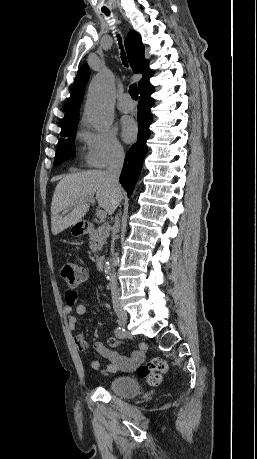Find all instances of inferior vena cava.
<instances>
[{
  "label": "inferior vena cava",
  "mask_w": 257,
  "mask_h": 459,
  "mask_svg": "<svg viewBox=\"0 0 257 459\" xmlns=\"http://www.w3.org/2000/svg\"><path fill=\"white\" fill-rule=\"evenodd\" d=\"M123 162H124V152L122 148H115L109 158L108 161V166L105 170V173L109 179L110 185L112 187L113 192L118 196L120 193V185H119V176L123 167ZM120 203L119 197L116 198L115 200V205L118 206ZM120 228V220L118 215L115 217V222L113 226V236H112V266H116L117 264V254L114 252V242L116 239V234L119 231ZM111 295H112V301H113V306L114 308L118 307L121 304L120 300V292L118 289V284H117V278L116 274L113 273L111 274Z\"/></svg>",
  "instance_id": "602c4592"
}]
</instances>
